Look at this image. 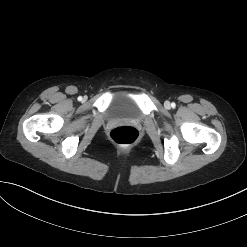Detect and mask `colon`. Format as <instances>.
<instances>
[{
  "mask_svg": "<svg viewBox=\"0 0 247 247\" xmlns=\"http://www.w3.org/2000/svg\"><path fill=\"white\" fill-rule=\"evenodd\" d=\"M110 139L119 145H130L139 139V132L131 126H119L110 131Z\"/></svg>",
  "mask_w": 247,
  "mask_h": 247,
  "instance_id": "obj_1",
  "label": "colon"
}]
</instances>
